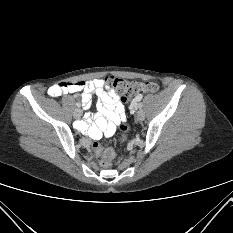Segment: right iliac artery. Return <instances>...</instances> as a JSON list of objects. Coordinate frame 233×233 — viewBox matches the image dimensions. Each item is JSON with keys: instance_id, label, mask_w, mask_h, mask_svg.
<instances>
[{"instance_id": "right-iliac-artery-1", "label": "right iliac artery", "mask_w": 233, "mask_h": 233, "mask_svg": "<svg viewBox=\"0 0 233 233\" xmlns=\"http://www.w3.org/2000/svg\"><path fill=\"white\" fill-rule=\"evenodd\" d=\"M76 106H77V107H80V106H81V103H80V102H77V103H76Z\"/></svg>"}]
</instances>
